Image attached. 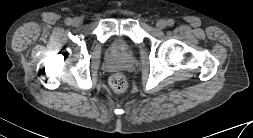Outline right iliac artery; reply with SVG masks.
<instances>
[{
  "mask_svg": "<svg viewBox=\"0 0 253 138\" xmlns=\"http://www.w3.org/2000/svg\"><path fill=\"white\" fill-rule=\"evenodd\" d=\"M71 20L70 19H66L65 21H64V24L66 25V26H70L71 25Z\"/></svg>",
  "mask_w": 253,
  "mask_h": 138,
  "instance_id": "obj_1",
  "label": "right iliac artery"
}]
</instances>
